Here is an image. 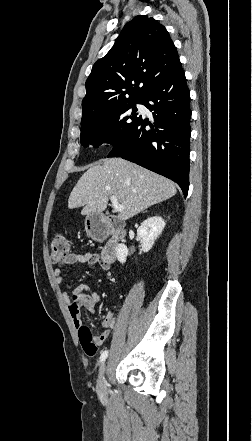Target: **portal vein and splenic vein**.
I'll list each match as a JSON object with an SVG mask.
<instances>
[{"label": "portal vein and splenic vein", "instance_id": "portal-vein-and-splenic-vein-1", "mask_svg": "<svg viewBox=\"0 0 252 441\" xmlns=\"http://www.w3.org/2000/svg\"><path fill=\"white\" fill-rule=\"evenodd\" d=\"M110 200L112 202V205H113V208L115 209V211L120 212L124 209V207L121 204H119L116 196L111 195Z\"/></svg>", "mask_w": 252, "mask_h": 441}]
</instances>
